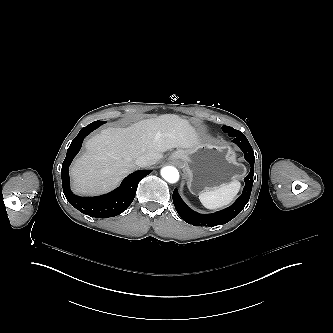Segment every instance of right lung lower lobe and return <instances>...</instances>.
Segmentation results:
<instances>
[{
    "instance_id": "98d812e1",
    "label": "right lung lower lobe",
    "mask_w": 333,
    "mask_h": 333,
    "mask_svg": "<svg viewBox=\"0 0 333 333\" xmlns=\"http://www.w3.org/2000/svg\"><path fill=\"white\" fill-rule=\"evenodd\" d=\"M106 121H94L83 127L72 140L62 164L61 177L63 193L70 204L80 212L96 218L114 217L125 211L132 203L139 181L147 176L150 170L136 171L127 176L114 191L97 197H79L74 195L69 186L68 168L79 152L84 138Z\"/></svg>"
}]
</instances>
